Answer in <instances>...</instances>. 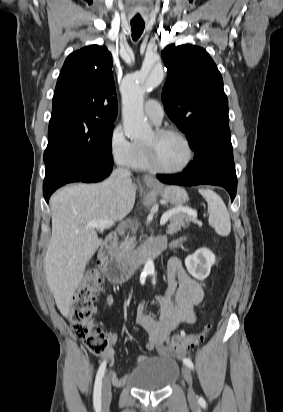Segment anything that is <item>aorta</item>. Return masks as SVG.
Returning a JSON list of instances; mask_svg holds the SVG:
<instances>
[{"label":"aorta","instance_id":"obj_1","mask_svg":"<svg viewBox=\"0 0 283 412\" xmlns=\"http://www.w3.org/2000/svg\"><path fill=\"white\" fill-rule=\"evenodd\" d=\"M163 78V72L154 70L152 66L124 78L121 85L122 117L124 132L130 139H142L150 135L151 128L143 113L144 94L147 89L157 87ZM154 273V262L149 258L145 262L142 276Z\"/></svg>","mask_w":283,"mask_h":412}]
</instances>
